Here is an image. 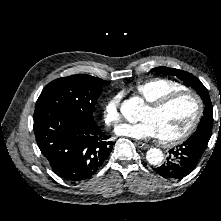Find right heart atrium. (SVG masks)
Wrapping results in <instances>:
<instances>
[{
    "mask_svg": "<svg viewBox=\"0 0 221 221\" xmlns=\"http://www.w3.org/2000/svg\"><path fill=\"white\" fill-rule=\"evenodd\" d=\"M120 100L121 95L115 94L111 96L103 106V121L108 127H112L120 121Z\"/></svg>",
    "mask_w": 221,
    "mask_h": 221,
    "instance_id": "1",
    "label": "right heart atrium"
}]
</instances>
